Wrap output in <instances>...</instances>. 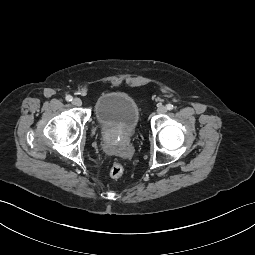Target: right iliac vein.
Instances as JSON below:
<instances>
[{
	"label": "right iliac vein",
	"instance_id": "right-iliac-vein-1",
	"mask_svg": "<svg viewBox=\"0 0 255 255\" xmlns=\"http://www.w3.org/2000/svg\"><path fill=\"white\" fill-rule=\"evenodd\" d=\"M72 104L75 106H81L82 105V101L80 98H74L72 101Z\"/></svg>",
	"mask_w": 255,
	"mask_h": 255
}]
</instances>
